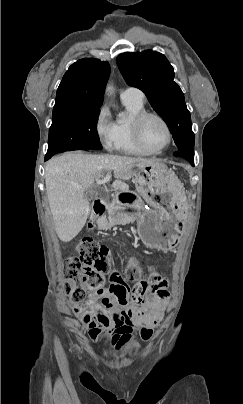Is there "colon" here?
Wrapping results in <instances>:
<instances>
[{"label":"colon","instance_id":"colon-1","mask_svg":"<svg viewBox=\"0 0 243 404\" xmlns=\"http://www.w3.org/2000/svg\"><path fill=\"white\" fill-rule=\"evenodd\" d=\"M76 256L68 259L64 271L66 277V291L74 302H82L86 297L84 285L98 286L99 278L109 270V249L99 245L92 239H83L76 245ZM130 280H140L141 271L138 263L132 259L127 269ZM150 280L159 282L161 278L155 272H151ZM144 300L142 291H134L131 302L140 304Z\"/></svg>","mask_w":243,"mask_h":404}]
</instances>
